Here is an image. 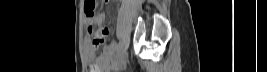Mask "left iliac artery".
Instances as JSON below:
<instances>
[{"label": "left iliac artery", "mask_w": 267, "mask_h": 72, "mask_svg": "<svg viewBox=\"0 0 267 72\" xmlns=\"http://www.w3.org/2000/svg\"><path fill=\"white\" fill-rule=\"evenodd\" d=\"M122 53H123V45L122 43L120 42L117 46V54H116V58H115V62L118 63L119 60L121 59V56H122Z\"/></svg>", "instance_id": "1"}]
</instances>
